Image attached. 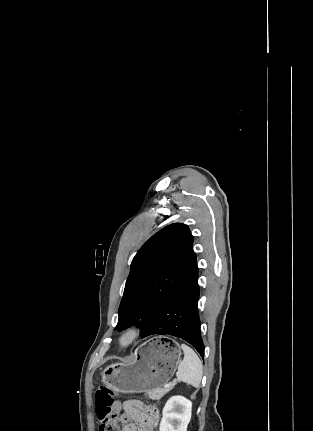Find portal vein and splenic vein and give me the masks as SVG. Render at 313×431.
Here are the masks:
<instances>
[{
  "instance_id": "18ae733b",
  "label": "portal vein and splenic vein",
  "mask_w": 313,
  "mask_h": 431,
  "mask_svg": "<svg viewBox=\"0 0 313 431\" xmlns=\"http://www.w3.org/2000/svg\"><path fill=\"white\" fill-rule=\"evenodd\" d=\"M173 382L175 383V382H176V380L174 379V380H173ZM169 385H170V384H167V386H169Z\"/></svg>"
}]
</instances>
